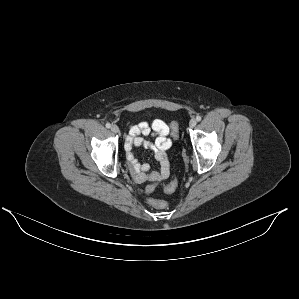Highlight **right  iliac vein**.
<instances>
[{"mask_svg":"<svg viewBox=\"0 0 299 299\" xmlns=\"http://www.w3.org/2000/svg\"><path fill=\"white\" fill-rule=\"evenodd\" d=\"M111 131L114 132V133H118L119 132V128L117 125H112L111 126Z\"/></svg>","mask_w":299,"mask_h":299,"instance_id":"obj_1","label":"right iliac vein"}]
</instances>
